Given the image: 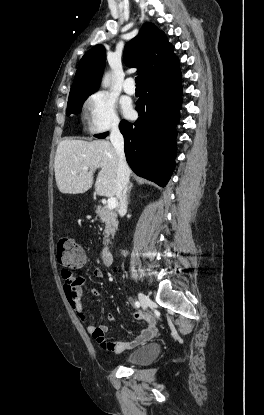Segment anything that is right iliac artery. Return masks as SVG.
Instances as JSON below:
<instances>
[{"mask_svg":"<svg viewBox=\"0 0 264 415\" xmlns=\"http://www.w3.org/2000/svg\"><path fill=\"white\" fill-rule=\"evenodd\" d=\"M135 306H136L137 308H139V307H140V302L136 301V302H135Z\"/></svg>","mask_w":264,"mask_h":415,"instance_id":"right-iliac-artery-1","label":"right iliac artery"}]
</instances>
